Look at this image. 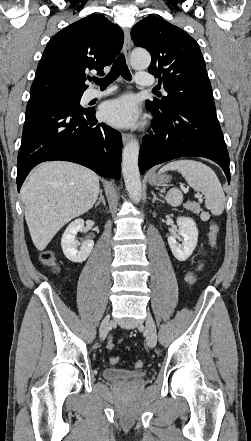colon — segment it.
Wrapping results in <instances>:
<instances>
[{
    "label": "colon",
    "instance_id": "colon-1",
    "mask_svg": "<svg viewBox=\"0 0 251 441\" xmlns=\"http://www.w3.org/2000/svg\"><path fill=\"white\" fill-rule=\"evenodd\" d=\"M218 235H219V226L212 222L210 224L209 227V233H208V237H209V243L211 245V247H215L217 244V240H218ZM41 262L49 267H52L53 269H57L56 268V262H55V255L52 251H45L42 255H41ZM187 282L189 284H192L194 282V275L193 274H189L187 276ZM115 344L113 341H109L107 343V349L108 350H112L114 349ZM110 362L112 365H117L120 363V359L118 357H112L110 358ZM144 365L142 360H138L134 363L135 368L139 369L142 368Z\"/></svg>",
    "mask_w": 251,
    "mask_h": 441
}]
</instances>
